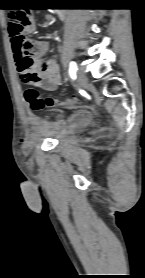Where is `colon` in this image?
<instances>
[{
	"label": "colon",
	"mask_w": 145,
	"mask_h": 278,
	"mask_svg": "<svg viewBox=\"0 0 145 278\" xmlns=\"http://www.w3.org/2000/svg\"><path fill=\"white\" fill-rule=\"evenodd\" d=\"M31 24V15L28 10L23 8H15L9 14L8 32L14 44L19 47L26 48L28 55L32 54V46L27 42L26 30ZM39 79L36 70L24 76V81L28 84H35ZM25 99L32 111H40L46 106H70L78 101V97L73 96L65 99H57L53 97L42 98L39 91L34 87H28L24 91ZM21 151L24 155L30 154V146L25 139L20 141Z\"/></svg>",
	"instance_id": "colon-1"
}]
</instances>
